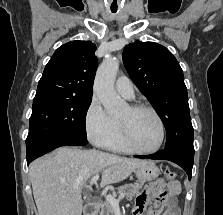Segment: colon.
Segmentation results:
<instances>
[{
    "instance_id": "obj_1",
    "label": "colon",
    "mask_w": 223,
    "mask_h": 215,
    "mask_svg": "<svg viewBox=\"0 0 223 215\" xmlns=\"http://www.w3.org/2000/svg\"><path fill=\"white\" fill-rule=\"evenodd\" d=\"M166 178L173 180L175 178V173L173 171H171L170 169H166L164 172Z\"/></svg>"
}]
</instances>
